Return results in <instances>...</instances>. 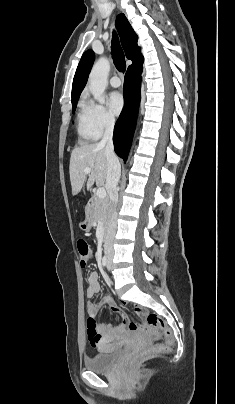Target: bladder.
Wrapping results in <instances>:
<instances>
[{
	"label": "bladder",
	"mask_w": 235,
	"mask_h": 404,
	"mask_svg": "<svg viewBox=\"0 0 235 404\" xmlns=\"http://www.w3.org/2000/svg\"><path fill=\"white\" fill-rule=\"evenodd\" d=\"M121 352L122 348L120 345L101 347L97 354L85 360V365L93 372H108L118 361Z\"/></svg>",
	"instance_id": "31cf9c89"
}]
</instances>
